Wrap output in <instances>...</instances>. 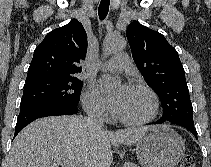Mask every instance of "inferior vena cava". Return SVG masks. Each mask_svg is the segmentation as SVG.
I'll return each mask as SVG.
<instances>
[{
  "instance_id": "1",
  "label": "inferior vena cava",
  "mask_w": 211,
  "mask_h": 167,
  "mask_svg": "<svg viewBox=\"0 0 211 167\" xmlns=\"http://www.w3.org/2000/svg\"><path fill=\"white\" fill-rule=\"evenodd\" d=\"M103 111L97 107L92 108L88 113V123L93 129H103Z\"/></svg>"
}]
</instances>
